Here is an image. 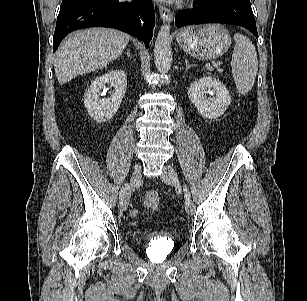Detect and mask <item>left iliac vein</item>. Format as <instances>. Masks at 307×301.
<instances>
[{
	"instance_id": "1",
	"label": "left iliac vein",
	"mask_w": 307,
	"mask_h": 301,
	"mask_svg": "<svg viewBox=\"0 0 307 301\" xmlns=\"http://www.w3.org/2000/svg\"><path fill=\"white\" fill-rule=\"evenodd\" d=\"M161 180L166 184H172L176 187H181L175 169L170 165H164ZM185 208L188 214H193L195 206L191 198L185 197Z\"/></svg>"
}]
</instances>
